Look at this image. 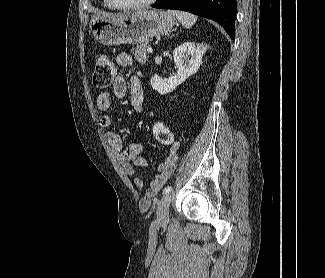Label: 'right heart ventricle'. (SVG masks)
<instances>
[{
  "mask_svg": "<svg viewBox=\"0 0 325 278\" xmlns=\"http://www.w3.org/2000/svg\"><path fill=\"white\" fill-rule=\"evenodd\" d=\"M103 3H104V6H105L107 9H110V10L115 9L114 7H112V6L109 4L108 0H103Z\"/></svg>",
  "mask_w": 325,
  "mask_h": 278,
  "instance_id": "1",
  "label": "right heart ventricle"
}]
</instances>
